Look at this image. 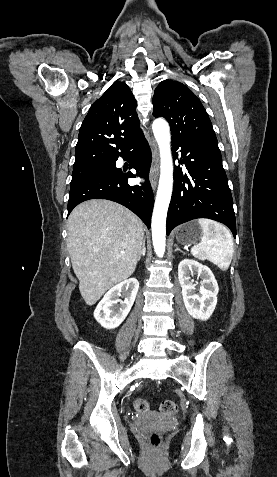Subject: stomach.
I'll return each instance as SVG.
<instances>
[{
	"label": "stomach",
	"mask_w": 277,
	"mask_h": 477,
	"mask_svg": "<svg viewBox=\"0 0 277 477\" xmlns=\"http://www.w3.org/2000/svg\"><path fill=\"white\" fill-rule=\"evenodd\" d=\"M202 237V229L197 221L188 222L176 230V241L181 245L190 246Z\"/></svg>",
	"instance_id": "stomach-1"
}]
</instances>
